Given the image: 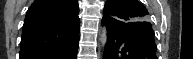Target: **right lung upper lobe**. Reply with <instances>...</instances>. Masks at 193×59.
<instances>
[{"mask_svg": "<svg viewBox=\"0 0 193 59\" xmlns=\"http://www.w3.org/2000/svg\"><path fill=\"white\" fill-rule=\"evenodd\" d=\"M77 0H35L24 21L20 56L50 53L79 36Z\"/></svg>", "mask_w": 193, "mask_h": 59, "instance_id": "1", "label": "right lung upper lobe"}]
</instances>
